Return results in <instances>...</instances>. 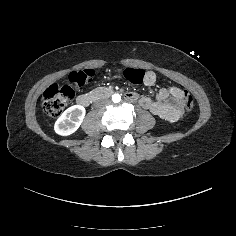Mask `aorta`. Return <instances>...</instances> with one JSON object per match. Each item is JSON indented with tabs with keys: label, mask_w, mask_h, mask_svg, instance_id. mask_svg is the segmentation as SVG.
<instances>
[{
	"label": "aorta",
	"mask_w": 236,
	"mask_h": 236,
	"mask_svg": "<svg viewBox=\"0 0 236 236\" xmlns=\"http://www.w3.org/2000/svg\"><path fill=\"white\" fill-rule=\"evenodd\" d=\"M120 100H121V96L119 94L112 95V101L114 103H118V102H120Z\"/></svg>",
	"instance_id": "1"
}]
</instances>
